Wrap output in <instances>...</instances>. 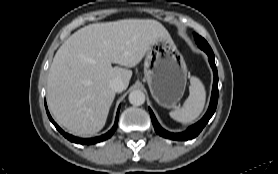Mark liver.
I'll return each mask as SVG.
<instances>
[{
  "label": "liver",
  "mask_w": 278,
  "mask_h": 174,
  "mask_svg": "<svg viewBox=\"0 0 278 174\" xmlns=\"http://www.w3.org/2000/svg\"><path fill=\"white\" fill-rule=\"evenodd\" d=\"M157 38L169 39L153 19L95 23L73 33L58 49L47 78V101L56 121L78 136L99 132L105 125L119 78L124 89L132 71Z\"/></svg>",
  "instance_id": "6515ba94"
}]
</instances>
